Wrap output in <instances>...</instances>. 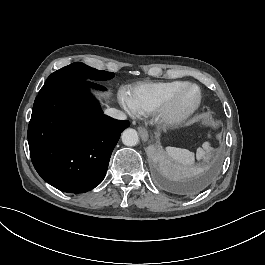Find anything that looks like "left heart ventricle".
<instances>
[{
    "instance_id": "left-heart-ventricle-1",
    "label": "left heart ventricle",
    "mask_w": 265,
    "mask_h": 265,
    "mask_svg": "<svg viewBox=\"0 0 265 265\" xmlns=\"http://www.w3.org/2000/svg\"><path fill=\"white\" fill-rule=\"evenodd\" d=\"M198 91L195 87H189L183 94L180 104L183 107L190 106L197 98Z\"/></svg>"
}]
</instances>
